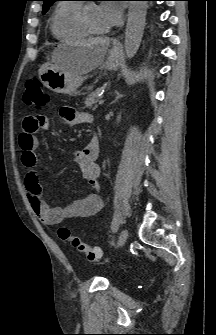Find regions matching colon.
<instances>
[{"label": "colon", "mask_w": 216, "mask_h": 335, "mask_svg": "<svg viewBox=\"0 0 216 335\" xmlns=\"http://www.w3.org/2000/svg\"><path fill=\"white\" fill-rule=\"evenodd\" d=\"M24 100L26 104L34 106L41 110L48 106L50 97L42 87L41 82L37 78L27 80L25 85ZM59 237L67 241L75 250L84 255L89 261L94 262L100 259L102 251L99 247L91 246L76 236H73L67 227L58 229Z\"/></svg>", "instance_id": "5ec220e1"}]
</instances>
